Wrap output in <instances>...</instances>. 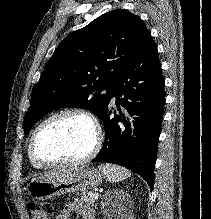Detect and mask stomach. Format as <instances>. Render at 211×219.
Wrapping results in <instances>:
<instances>
[{
    "instance_id": "1",
    "label": "stomach",
    "mask_w": 211,
    "mask_h": 219,
    "mask_svg": "<svg viewBox=\"0 0 211 219\" xmlns=\"http://www.w3.org/2000/svg\"><path fill=\"white\" fill-rule=\"evenodd\" d=\"M104 175L101 170L93 167L71 169L62 178L50 181H32L28 194L36 199H48L70 192H86L102 184Z\"/></svg>"
}]
</instances>
